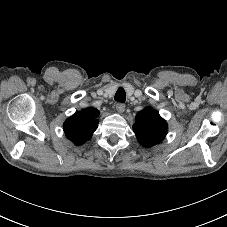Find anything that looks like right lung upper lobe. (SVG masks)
I'll return each mask as SVG.
<instances>
[{"mask_svg":"<svg viewBox=\"0 0 227 227\" xmlns=\"http://www.w3.org/2000/svg\"><path fill=\"white\" fill-rule=\"evenodd\" d=\"M99 111L89 107L76 112L64 122V132L66 136L76 145H82L88 139L98 126Z\"/></svg>","mask_w":227,"mask_h":227,"instance_id":"1","label":"right lung upper lobe"}]
</instances>
